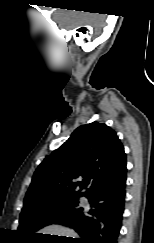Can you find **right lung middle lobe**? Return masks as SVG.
I'll return each instance as SVG.
<instances>
[{
	"label": "right lung middle lobe",
	"mask_w": 154,
	"mask_h": 243,
	"mask_svg": "<svg viewBox=\"0 0 154 243\" xmlns=\"http://www.w3.org/2000/svg\"><path fill=\"white\" fill-rule=\"evenodd\" d=\"M81 195H64L23 207L18 231L24 238H31L37 230L81 209Z\"/></svg>",
	"instance_id": "obj_1"
}]
</instances>
